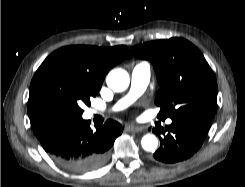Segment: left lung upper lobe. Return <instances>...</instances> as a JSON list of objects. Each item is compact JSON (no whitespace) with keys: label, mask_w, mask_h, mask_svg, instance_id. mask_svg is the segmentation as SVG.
<instances>
[{"label":"left lung upper lobe","mask_w":245,"mask_h":187,"mask_svg":"<svg viewBox=\"0 0 245 187\" xmlns=\"http://www.w3.org/2000/svg\"><path fill=\"white\" fill-rule=\"evenodd\" d=\"M141 59L151 61L160 90L155 104L165 120H212L217 82L202 53L183 38L151 41L131 48Z\"/></svg>","instance_id":"1"}]
</instances>
